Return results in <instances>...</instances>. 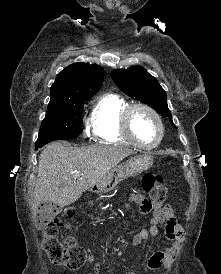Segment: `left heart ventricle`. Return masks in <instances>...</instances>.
<instances>
[{
    "mask_svg": "<svg viewBox=\"0 0 221 274\" xmlns=\"http://www.w3.org/2000/svg\"><path fill=\"white\" fill-rule=\"evenodd\" d=\"M134 136L143 144H153L159 136V128L151 114L142 109L134 111L131 119Z\"/></svg>",
    "mask_w": 221,
    "mask_h": 274,
    "instance_id": "left-heart-ventricle-1",
    "label": "left heart ventricle"
}]
</instances>
